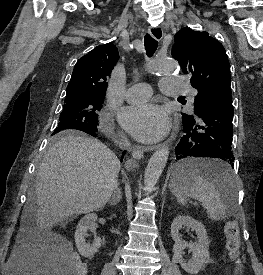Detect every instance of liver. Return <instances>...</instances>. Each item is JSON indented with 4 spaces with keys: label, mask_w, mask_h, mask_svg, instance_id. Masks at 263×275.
I'll list each match as a JSON object with an SVG mask.
<instances>
[{
    "label": "liver",
    "mask_w": 263,
    "mask_h": 275,
    "mask_svg": "<svg viewBox=\"0 0 263 275\" xmlns=\"http://www.w3.org/2000/svg\"><path fill=\"white\" fill-rule=\"evenodd\" d=\"M120 162L98 140L65 135L46 152L36 177L37 224L52 227L104 208L118 182ZM30 208L24 209L23 218Z\"/></svg>",
    "instance_id": "obj_1"
}]
</instances>
